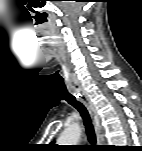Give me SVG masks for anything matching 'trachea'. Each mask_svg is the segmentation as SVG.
Listing matches in <instances>:
<instances>
[{
    "mask_svg": "<svg viewBox=\"0 0 142 151\" xmlns=\"http://www.w3.org/2000/svg\"><path fill=\"white\" fill-rule=\"evenodd\" d=\"M62 98L79 111L84 122L88 140L90 143L95 144L96 134H95V130L92 124L91 117L86 107L83 105V103L77 100L76 96H73L70 93H66L65 95L62 96Z\"/></svg>",
    "mask_w": 142,
    "mask_h": 151,
    "instance_id": "1",
    "label": "trachea"
}]
</instances>
